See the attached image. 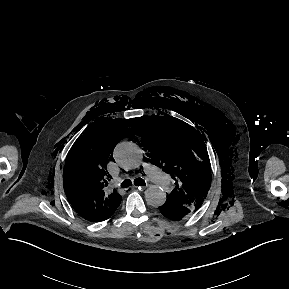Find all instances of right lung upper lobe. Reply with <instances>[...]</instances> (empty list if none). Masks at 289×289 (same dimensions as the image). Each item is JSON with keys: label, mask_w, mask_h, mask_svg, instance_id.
Wrapping results in <instances>:
<instances>
[{"label": "right lung upper lobe", "mask_w": 289, "mask_h": 289, "mask_svg": "<svg viewBox=\"0 0 289 289\" xmlns=\"http://www.w3.org/2000/svg\"><path fill=\"white\" fill-rule=\"evenodd\" d=\"M114 119L107 124L93 125L73 145L63 170V186L73 209L85 220L100 222L108 219L121 202L116 190L104 191L107 186V162L113 149L131 130L125 122Z\"/></svg>", "instance_id": "obj_1"}]
</instances>
